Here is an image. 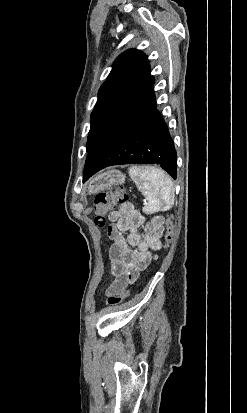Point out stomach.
Here are the masks:
<instances>
[{
    "label": "stomach",
    "instance_id": "obj_1",
    "mask_svg": "<svg viewBox=\"0 0 247 413\" xmlns=\"http://www.w3.org/2000/svg\"><path fill=\"white\" fill-rule=\"evenodd\" d=\"M125 174L116 168H109L105 172H100L97 176H93L88 182V194H97L101 190H110L115 184H124Z\"/></svg>",
    "mask_w": 247,
    "mask_h": 413
}]
</instances>
